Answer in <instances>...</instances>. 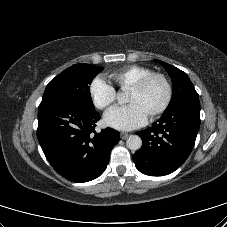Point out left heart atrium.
I'll return each mask as SVG.
<instances>
[{
  "label": "left heart atrium",
  "instance_id": "39dd6f15",
  "mask_svg": "<svg viewBox=\"0 0 227 227\" xmlns=\"http://www.w3.org/2000/svg\"><path fill=\"white\" fill-rule=\"evenodd\" d=\"M148 115L136 103L126 106L114 107L110 109L104 117L105 123L119 130H133L143 126L147 121Z\"/></svg>",
  "mask_w": 227,
  "mask_h": 227
}]
</instances>
